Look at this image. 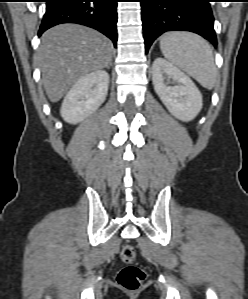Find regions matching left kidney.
Instances as JSON below:
<instances>
[{"instance_id":"left-kidney-1","label":"left kidney","mask_w":248,"mask_h":299,"mask_svg":"<svg viewBox=\"0 0 248 299\" xmlns=\"http://www.w3.org/2000/svg\"><path fill=\"white\" fill-rule=\"evenodd\" d=\"M152 73L154 89L168 111L181 121L193 120L203 105L193 81L163 58L155 59Z\"/></svg>"}]
</instances>
